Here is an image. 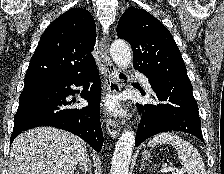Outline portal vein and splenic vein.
I'll list each match as a JSON object with an SVG mask.
<instances>
[{
	"label": "portal vein and splenic vein",
	"mask_w": 224,
	"mask_h": 174,
	"mask_svg": "<svg viewBox=\"0 0 224 174\" xmlns=\"http://www.w3.org/2000/svg\"><path fill=\"white\" fill-rule=\"evenodd\" d=\"M171 171H175V172H177V174H182V173H184L182 170L175 169V168H172V167H166V166H164V167L161 169V172H162V173H167V172H171Z\"/></svg>",
	"instance_id": "18ae733b"
}]
</instances>
